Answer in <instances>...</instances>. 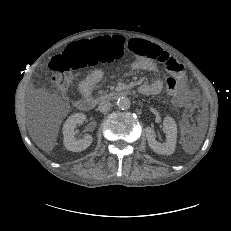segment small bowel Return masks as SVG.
Here are the masks:
<instances>
[{"label":"small bowel","mask_w":231,"mask_h":231,"mask_svg":"<svg viewBox=\"0 0 231 231\" xmlns=\"http://www.w3.org/2000/svg\"><path fill=\"white\" fill-rule=\"evenodd\" d=\"M126 48L134 54L131 62V68L136 71H146L156 73L158 65L156 60L162 62L165 69L172 73L179 81L185 82V72L183 66L171 55L164 52L156 44L144 39H130L126 42ZM103 79L101 70H93L79 84V91L83 96H90L95 87ZM163 89L161 79H155L151 82L142 83L139 86V92L144 95H157Z\"/></svg>","instance_id":"1"}]
</instances>
